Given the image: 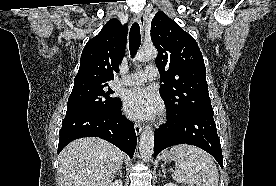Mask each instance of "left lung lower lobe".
I'll return each instance as SVG.
<instances>
[{
	"label": "left lung lower lobe",
	"mask_w": 276,
	"mask_h": 186,
	"mask_svg": "<svg viewBox=\"0 0 276 186\" xmlns=\"http://www.w3.org/2000/svg\"><path fill=\"white\" fill-rule=\"evenodd\" d=\"M168 119L154 136V157L163 149L190 144L211 154L223 168L220 139L217 135L213 110H199L182 115L168 111Z\"/></svg>",
	"instance_id": "1"
}]
</instances>
